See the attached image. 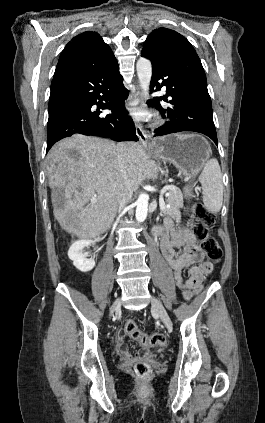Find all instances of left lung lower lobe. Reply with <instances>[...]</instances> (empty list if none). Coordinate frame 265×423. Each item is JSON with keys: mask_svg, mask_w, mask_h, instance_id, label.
<instances>
[{"mask_svg": "<svg viewBox=\"0 0 265 423\" xmlns=\"http://www.w3.org/2000/svg\"><path fill=\"white\" fill-rule=\"evenodd\" d=\"M152 62L151 91L166 87V96L149 102L169 121L157 128L154 136L182 131L207 135L216 145L217 134L212 117V103L207 90L206 75L196 51L186 38H176L165 51L153 55L141 54ZM162 80L161 83L158 81ZM173 106L163 109L159 100Z\"/></svg>", "mask_w": 265, "mask_h": 423, "instance_id": "left-lung-lower-lobe-1", "label": "left lung lower lobe"}]
</instances>
